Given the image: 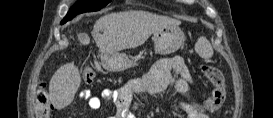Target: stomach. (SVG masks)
Returning <instances> with one entry per match:
<instances>
[{
    "instance_id": "obj_1",
    "label": "stomach",
    "mask_w": 273,
    "mask_h": 118,
    "mask_svg": "<svg viewBox=\"0 0 273 118\" xmlns=\"http://www.w3.org/2000/svg\"><path fill=\"white\" fill-rule=\"evenodd\" d=\"M155 52L160 55H168L177 51L184 42L185 35L178 26H166L157 29L152 37ZM101 63L103 67L111 72L125 70L133 65L135 61L124 53H101Z\"/></svg>"
}]
</instances>
